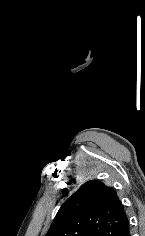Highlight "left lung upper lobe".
Segmentation results:
<instances>
[{"mask_svg": "<svg viewBox=\"0 0 145 236\" xmlns=\"http://www.w3.org/2000/svg\"><path fill=\"white\" fill-rule=\"evenodd\" d=\"M128 226L116 191L95 180L62 204L45 236H121Z\"/></svg>", "mask_w": 145, "mask_h": 236, "instance_id": "5c2ea615", "label": "left lung upper lobe"}]
</instances>
